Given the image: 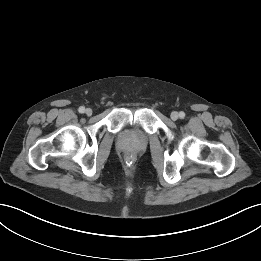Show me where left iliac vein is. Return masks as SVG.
Here are the masks:
<instances>
[{"label":"left iliac vein","instance_id":"1","mask_svg":"<svg viewBox=\"0 0 261 261\" xmlns=\"http://www.w3.org/2000/svg\"><path fill=\"white\" fill-rule=\"evenodd\" d=\"M170 117L173 121H176L179 118V114L176 111H174L171 113Z\"/></svg>","mask_w":261,"mask_h":261}]
</instances>
